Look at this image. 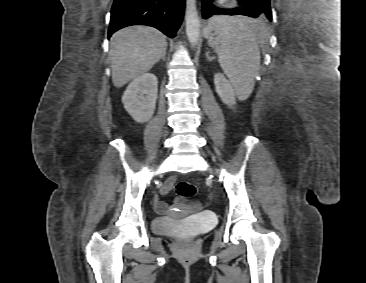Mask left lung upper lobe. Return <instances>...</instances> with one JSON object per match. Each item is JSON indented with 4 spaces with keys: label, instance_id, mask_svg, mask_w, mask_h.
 <instances>
[{
    "label": "left lung upper lobe",
    "instance_id": "5c2ea615",
    "mask_svg": "<svg viewBox=\"0 0 366 283\" xmlns=\"http://www.w3.org/2000/svg\"><path fill=\"white\" fill-rule=\"evenodd\" d=\"M256 1L260 2L259 5L264 10V13L259 18L260 19L267 18L269 20H272L270 0H256Z\"/></svg>",
    "mask_w": 366,
    "mask_h": 283
}]
</instances>
